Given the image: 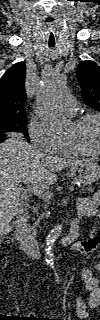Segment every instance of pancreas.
<instances>
[{
  "mask_svg": "<svg viewBox=\"0 0 100 320\" xmlns=\"http://www.w3.org/2000/svg\"><path fill=\"white\" fill-rule=\"evenodd\" d=\"M48 204V203H47ZM44 214H41L37 220V222L35 223L34 227H33V231L34 233L36 232V229L34 228H37L38 227V224H39V221L43 218Z\"/></svg>",
  "mask_w": 100,
  "mask_h": 320,
  "instance_id": "1",
  "label": "pancreas"
}]
</instances>
